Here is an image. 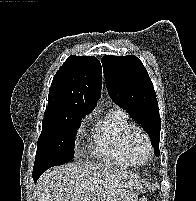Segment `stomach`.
I'll use <instances>...</instances> for the list:
<instances>
[{
  "mask_svg": "<svg viewBox=\"0 0 196 201\" xmlns=\"http://www.w3.org/2000/svg\"><path fill=\"white\" fill-rule=\"evenodd\" d=\"M122 201H138L137 195L133 190H128L126 197Z\"/></svg>",
  "mask_w": 196,
  "mask_h": 201,
  "instance_id": "stomach-1",
  "label": "stomach"
}]
</instances>
